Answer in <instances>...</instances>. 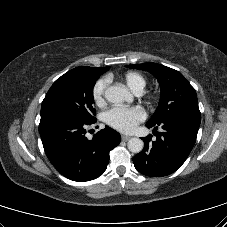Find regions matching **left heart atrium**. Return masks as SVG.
Returning <instances> with one entry per match:
<instances>
[{
  "instance_id": "1",
  "label": "left heart atrium",
  "mask_w": 227,
  "mask_h": 227,
  "mask_svg": "<svg viewBox=\"0 0 227 227\" xmlns=\"http://www.w3.org/2000/svg\"><path fill=\"white\" fill-rule=\"evenodd\" d=\"M146 118L140 107L115 106L104 113L106 123L121 132H132Z\"/></svg>"
}]
</instances>
